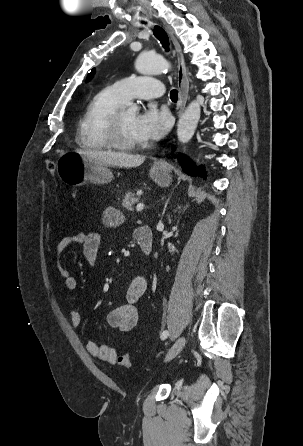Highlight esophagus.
Returning <instances> with one entry per match:
<instances>
[{
  "label": "esophagus",
  "mask_w": 303,
  "mask_h": 446,
  "mask_svg": "<svg viewBox=\"0 0 303 446\" xmlns=\"http://www.w3.org/2000/svg\"><path fill=\"white\" fill-rule=\"evenodd\" d=\"M165 28L173 42V45L175 47V51L177 54L178 66H177L176 79H177V85L179 88L178 116H180L185 109L186 102L188 99L189 81H188V77H187L184 56L181 51V46H180L177 38L175 37L173 31L168 26H165ZM165 164H166L165 159H160L159 161L156 162L157 166H165Z\"/></svg>",
  "instance_id": "obj_1"
}]
</instances>
